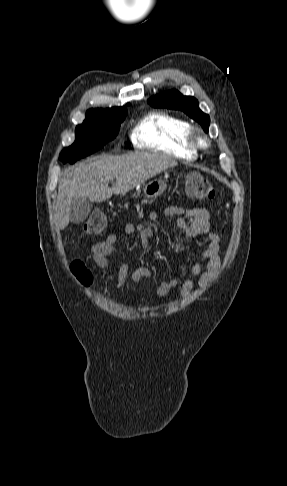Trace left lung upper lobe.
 I'll list each match as a JSON object with an SVG mask.
<instances>
[{"instance_id":"5c2ea615","label":"left lung upper lobe","mask_w":287,"mask_h":486,"mask_svg":"<svg viewBox=\"0 0 287 486\" xmlns=\"http://www.w3.org/2000/svg\"><path fill=\"white\" fill-rule=\"evenodd\" d=\"M148 103L156 108L182 110L192 119L200 123L205 132H208L210 118L199 109L198 101L194 97L183 96L177 90H171L151 97Z\"/></svg>"}]
</instances>
